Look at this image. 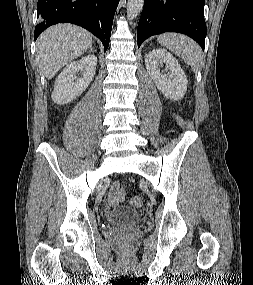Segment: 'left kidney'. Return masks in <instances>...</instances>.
<instances>
[{"label": "left kidney", "mask_w": 253, "mask_h": 285, "mask_svg": "<svg viewBox=\"0 0 253 285\" xmlns=\"http://www.w3.org/2000/svg\"><path fill=\"white\" fill-rule=\"evenodd\" d=\"M145 65L149 76L165 97L174 101L184 97L188 81L183 69L172 54L165 49H154L146 55ZM163 65L169 72L160 71Z\"/></svg>", "instance_id": "left-kidney-1"}]
</instances>
